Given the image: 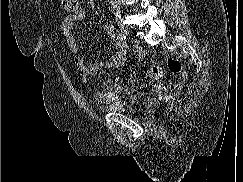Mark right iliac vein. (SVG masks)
Returning a JSON list of instances; mask_svg holds the SVG:
<instances>
[{
    "label": "right iliac vein",
    "mask_w": 243,
    "mask_h": 182,
    "mask_svg": "<svg viewBox=\"0 0 243 182\" xmlns=\"http://www.w3.org/2000/svg\"><path fill=\"white\" fill-rule=\"evenodd\" d=\"M118 26H119V29H120L122 34H124V35H128L129 34V29H128V27L126 25H124V23L119 22Z\"/></svg>",
    "instance_id": "right-iliac-vein-1"
}]
</instances>
